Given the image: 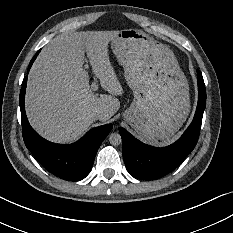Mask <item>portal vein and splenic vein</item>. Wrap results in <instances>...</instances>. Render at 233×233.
<instances>
[{
    "mask_svg": "<svg viewBox=\"0 0 233 233\" xmlns=\"http://www.w3.org/2000/svg\"><path fill=\"white\" fill-rule=\"evenodd\" d=\"M91 89L93 90V91H97L98 90V84L94 81V82H92V84H91Z\"/></svg>",
    "mask_w": 233,
    "mask_h": 233,
    "instance_id": "portal-vein-and-splenic-vein-1",
    "label": "portal vein and splenic vein"
}]
</instances>
